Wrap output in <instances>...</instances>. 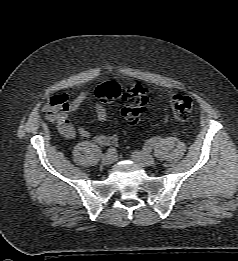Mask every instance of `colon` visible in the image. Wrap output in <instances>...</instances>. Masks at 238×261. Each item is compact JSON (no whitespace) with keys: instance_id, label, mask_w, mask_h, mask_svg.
<instances>
[{"instance_id":"obj_1","label":"colon","mask_w":238,"mask_h":261,"mask_svg":"<svg viewBox=\"0 0 238 261\" xmlns=\"http://www.w3.org/2000/svg\"><path fill=\"white\" fill-rule=\"evenodd\" d=\"M96 95L101 103L106 104L121 99L122 114L126 121L133 126H139L142 113L145 111L149 91L141 85H135L122 92L115 82H107L96 89ZM68 99L64 94L53 95L45 104V111L52 121H56L68 110ZM170 108L179 120H187L193 109V100L186 94H175L170 99Z\"/></svg>"}]
</instances>
